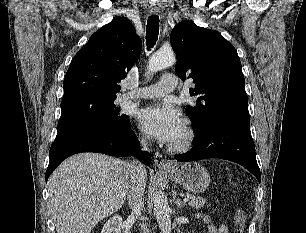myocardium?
I'll list each match as a JSON object with an SVG mask.
<instances>
[{
	"label": "myocardium",
	"instance_id": "myocardium-1",
	"mask_svg": "<svg viewBox=\"0 0 306 233\" xmlns=\"http://www.w3.org/2000/svg\"><path fill=\"white\" fill-rule=\"evenodd\" d=\"M196 139L195 130L189 120L184 122V135L181 140L175 143H170L168 149L172 152H186L190 150Z\"/></svg>",
	"mask_w": 306,
	"mask_h": 233
}]
</instances>
